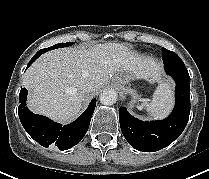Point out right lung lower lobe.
<instances>
[{
	"label": "right lung lower lobe",
	"mask_w": 209,
	"mask_h": 179,
	"mask_svg": "<svg viewBox=\"0 0 209 179\" xmlns=\"http://www.w3.org/2000/svg\"><path fill=\"white\" fill-rule=\"evenodd\" d=\"M42 54L37 52L30 60L27 68ZM27 90L21 88L18 107V114L24 129L28 134L40 145L48 148L50 145L57 146L60 150L70 149L81 141L86 134L94 108L96 99L94 98L85 112L80 115L71 124L62 126L59 123L53 122L49 118L32 113L26 107Z\"/></svg>",
	"instance_id": "right-lung-lower-lobe-1"
}]
</instances>
